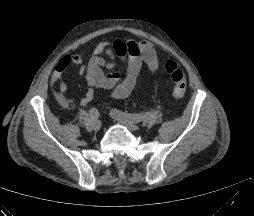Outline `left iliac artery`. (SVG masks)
Returning a JSON list of instances; mask_svg holds the SVG:
<instances>
[{"label":"left iliac artery","instance_id":"1","mask_svg":"<svg viewBox=\"0 0 254 216\" xmlns=\"http://www.w3.org/2000/svg\"><path fill=\"white\" fill-rule=\"evenodd\" d=\"M113 113L119 117L126 118V119L132 120L134 122H140L143 119L142 114H130V113L119 111L117 109H114Z\"/></svg>","mask_w":254,"mask_h":216}]
</instances>
